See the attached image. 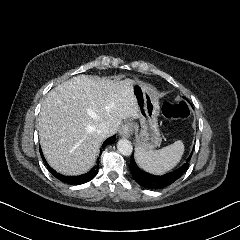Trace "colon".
<instances>
[{
  "mask_svg": "<svg viewBox=\"0 0 240 240\" xmlns=\"http://www.w3.org/2000/svg\"><path fill=\"white\" fill-rule=\"evenodd\" d=\"M162 112L168 119H185L190 115V106L186 101L169 103L163 106Z\"/></svg>",
  "mask_w": 240,
  "mask_h": 240,
  "instance_id": "1",
  "label": "colon"
}]
</instances>
